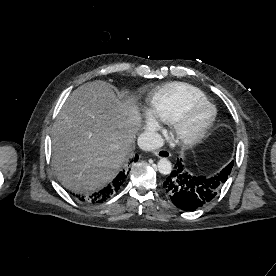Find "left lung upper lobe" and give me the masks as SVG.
I'll return each mask as SVG.
<instances>
[{
    "label": "left lung upper lobe",
    "mask_w": 276,
    "mask_h": 276,
    "mask_svg": "<svg viewBox=\"0 0 276 276\" xmlns=\"http://www.w3.org/2000/svg\"><path fill=\"white\" fill-rule=\"evenodd\" d=\"M228 165H231V166H233V163L231 162L230 164H228Z\"/></svg>",
    "instance_id": "1"
}]
</instances>
